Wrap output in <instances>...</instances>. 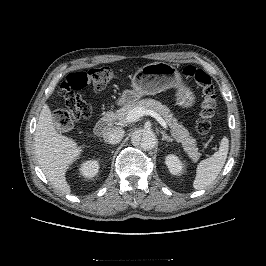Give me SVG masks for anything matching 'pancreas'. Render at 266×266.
I'll use <instances>...</instances> for the list:
<instances>
[{"instance_id": "1", "label": "pancreas", "mask_w": 266, "mask_h": 266, "mask_svg": "<svg viewBox=\"0 0 266 266\" xmlns=\"http://www.w3.org/2000/svg\"><path fill=\"white\" fill-rule=\"evenodd\" d=\"M136 107H143L147 110H153L164 118L168 126L171 128V134L174 139L182 144L184 151L193 162H197L200 158V153L196 147V140L189 135L187 129L182 124L178 123V120L174 118L169 108L162 105L159 101L153 99H142L130 104L124 105L116 112L111 113V119L113 121H119V123H127L128 113Z\"/></svg>"}]
</instances>
